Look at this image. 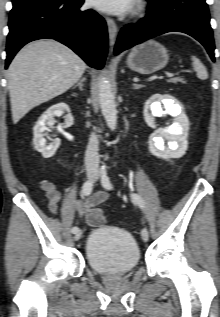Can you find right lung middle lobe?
Returning a JSON list of instances; mask_svg holds the SVG:
<instances>
[{"label":"right lung middle lobe","mask_w":220,"mask_h":317,"mask_svg":"<svg viewBox=\"0 0 220 317\" xmlns=\"http://www.w3.org/2000/svg\"><path fill=\"white\" fill-rule=\"evenodd\" d=\"M30 1H34V0H12V3H13V6H17L19 4L30 2Z\"/></svg>","instance_id":"right-lung-middle-lobe-1"}]
</instances>
